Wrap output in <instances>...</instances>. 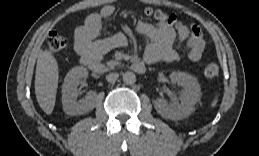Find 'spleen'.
I'll list each match as a JSON object with an SVG mask.
<instances>
[{
	"label": "spleen",
	"instance_id": "1",
	"mask_svg": "<svg viewBox=\"0 0 259 156\" xmlns=\"http://www.w3.org/2000/svg\"><path fill=\"white\" fill-rule=\"evenodd\" d=\"M217 102H218V93H216V95H215V97H214V99H213V101L211 103V108L212 109L216 107Z\"/></svg>",
	"mask_w": 259,
	"mask_h": 156
}]
</instances>
